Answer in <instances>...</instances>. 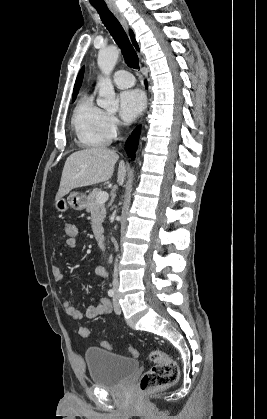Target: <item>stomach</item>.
I'll return each instance as SVG.
<instances>
[{"label":"stomach","mask_w":267,"mask_h":419,"mask_svg":"<svg viewBox=\"0 0 267 419\" xmlns=\"http://www.w3.org/2000/svg\"><path fill=\"white\" fill-rule=\"evenodd\" d=\"M86 205L87 196L86 194L80 192H72L67 197V200L62 197L56 199L54 203L55 209L60 213L66 212L69 207L74 210L81 211L86 208Z\"/></svg>","instance_id":"0dacf381"}]
</instances>
